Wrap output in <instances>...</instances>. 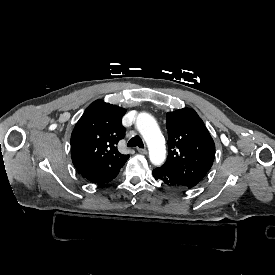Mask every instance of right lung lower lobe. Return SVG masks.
Returning a JSON list of instances; mask_svg holds the SVG:
<instances>
[{
	"instance_id": "98d812e1",
	"label": "right lung lower lobe",
	"mask_w": 275,
	"mask_h": 275,
	"mask_svg": "<svg viewBox=\"0 0 275 275\" xmlns=\"http://www.w3.org/2000/svg\"><path fill=\"white\" fill-rule=\"evenodd\" d=\"M120 168L103 167L96 170L84 172L81 175L94 184L108 183L113 180L119 173Z\"/></svg>"
}]
</instances>
